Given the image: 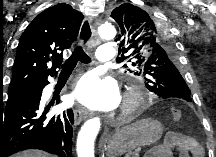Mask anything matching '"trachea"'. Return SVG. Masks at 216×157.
Listing matches in <instances>:
<instances>
[{
  "label": "trachea",
  "mask_w": 216,
  "mask_h": 157,
  "mask_svg": "<svg viewBox=\"0 0 216 157\" xmlns=\"http://www.w3.org/2000/svg\"><path fill=\"white\" fill-rule=\"evenodd\" d=\"M88 31L90 32L89 28H88ZM87 38L84 37L85 40ZM78 61H80L82 63H90L91 62L90 57L85 53V51L83 50V48L81 46H77L74 49L72 55L69 57V59H67L65 61V63L62 65L61 73L62 74L71 73L74 70V68H75Z\"/></svg>",
  "instance_id": "obj_1"
}]
</instances>
